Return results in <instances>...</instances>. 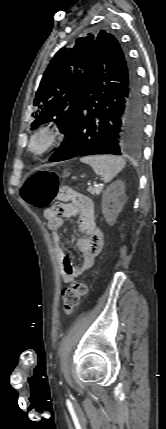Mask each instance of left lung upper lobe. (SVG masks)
I'll use <instances>...</instances> for the list:
<instances>
[{
    "instance_id": "5c2ea615",
    "label": "left lung upper lobe",
    "mask_w": 166,
    "mask_h": 429,
    "mask_svg": "<svg viewBox=\"0 0 166 429\" xmlns=\"http://www.w3.org/2000/svg\"><path fill=\"white\" fill-rule=\"evenodd\" d=\"M98 35L89 33L77 38L72 46L61 48L50 61L34 99L38 113L33 129L54 121L61 133L66 134L90 75Z\"/></svg>"
}]
</instances>
